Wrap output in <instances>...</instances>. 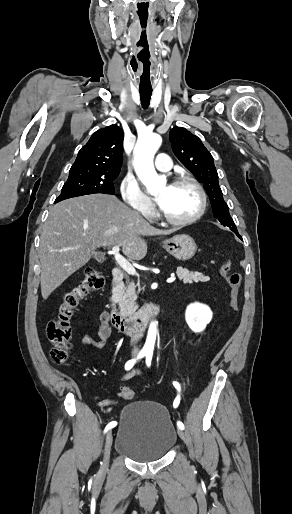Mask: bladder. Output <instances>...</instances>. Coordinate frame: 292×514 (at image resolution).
Segmentation results:
<instances>
[{
	"mask_svg": "<svg viewBox=\"0 0 292 514\" xmlns=\"http://www.w3.org/2000/svg\"><path fill=\"white\" fill-rule=\"evenodd\" d=\"M176 441L175 427L163 405L134 401L122 408L115 440L118 455L138 463L155 462L164 458Z\"/></svg>",
	"mask_w": 292,
	"mask_h": 514,
	"instance_id": "31cf9c89",
	"label": "bladder"
}]
</instances>
